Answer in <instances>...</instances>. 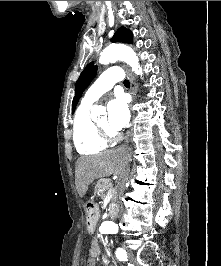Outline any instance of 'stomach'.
I'll return each mask as SVG.
<instances>
[{"label": "stomach", "instance_id": "obj_1", "mask_svg": "<svg viewBox=\"0 0 221 266\" xmlns=\"http://www.w3.org/2000/svg\"><path fill=\"white\" fill-rule=\"evenodd\" d=\"M97 218V212L96 210H90L87 212V221L89 223H92L93 221H95Z\"/></svg>", "mask_w": 221, "mask_h": 266}]
</instances>
